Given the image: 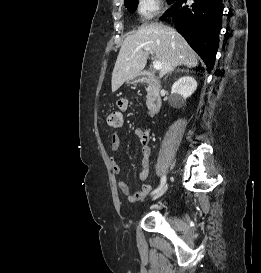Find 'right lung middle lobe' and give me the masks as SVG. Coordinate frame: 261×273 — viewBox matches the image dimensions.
<instances>
[{"label": "right lung middle lobe", "instance_id": "dd1d6c3e", "mask_svg": "<svg viewBox=\"0 0 261 273\" xmlns=\"http://www.w3.org/2000/svg\"><path fill=\"white\" fill-rule=\"evenodd\" d=\"M168 3H172L174 0H167ZM125 7L128 8L129 12L135 11L137 7V0H125Z\"/></svg>", "mask_w": 261, "mask_h": 273}]
</instances>
